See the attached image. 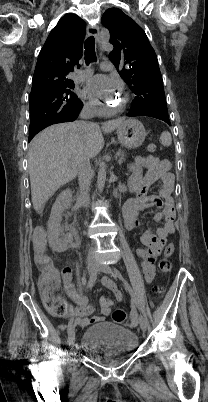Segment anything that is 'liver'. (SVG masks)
<instances>
[{
    "label": "liver",
    "instance_id": "6515ba94",
    "mask_svg": "<svg viewBox=\"0 0 208 402\" xmlns=\"http://www.w3.org/2000/svg\"><path fill=\"white\" fill-rule=\"evenodd\" d=\"M109 120L102 128L92 124L80 130L76 124H55L40 132L29 148L28 170L34 210L41 214L44 204L60 186L74 180L78 174L77 156L87 148L89 158H95L104 146L102 132L109 134L122 124ZM102 130V132H101Z\"/></svg>",
    "mask_w": 208,
    "mask_h": 402
}]
</instances>
